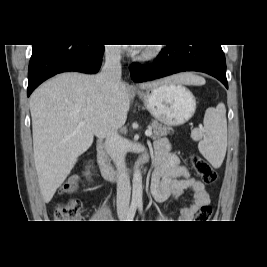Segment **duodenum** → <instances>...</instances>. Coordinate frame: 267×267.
I'll list each match as a JSON object with an SVG mask.
<instances>
[{
	"label": "duodenum",
	"mask_w": 267,
	"mask_h": 267,
	"mask_svg": "<svg viewBox=\"0 0 267 267\" xmlns=\"http://www.w3.org/2000/svg\"><path fill=\"white\" fill-rule=\"evenodd\" d=\"M96 159L101 171L102 176L107 180H113L117 177V171L110 164L108 157L104 150V142L102 139H99L96 143ZM146 163L145 158H140L133 166L132 170H135L141 167Z\"/></svg>",
	"instance_id": "1"
}]
</instances>
